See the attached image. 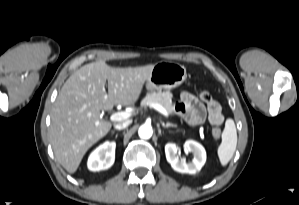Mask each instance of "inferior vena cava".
<instances>
[{
	"instance_id": "602c4592",
	"label": "inferior vena cava",
	"mask_w": 299,
	"mask_h": 205,
	"mask_svg": "<svg viewBox=\"0 0 299 205\" xmlns=\"http://www.w3.org/2000/svg\"><path fill=\"white\" fill-rule=\"evenodd\" d=\"M131 123V120L124 121L122 123H117L114 125V128L117 130H122L126 128Z\"/></svg>"
}]
</instances>
